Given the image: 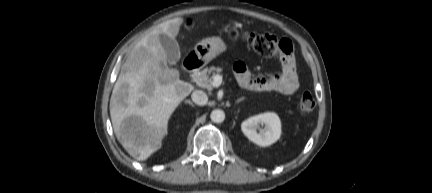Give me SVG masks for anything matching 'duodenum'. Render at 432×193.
I'll return each mask as SVG.
<instances>
[{"instance_id": "1", "label": "duodenum", "mask_w": 432, "mask_h": 193, "mask_svg": "<svg viewBox=\"0 0 432 193\" xmlns=\"http://www.w3.org/2000/svg\"><path fill=\"white\" fill-rule=\"evenodd\" d=\"M202 66V61L197 56H190L183 62L184 70L187 74L193 75L196 74Z\"/></svg>"}]
</instances>
